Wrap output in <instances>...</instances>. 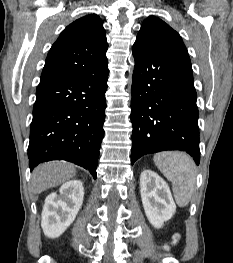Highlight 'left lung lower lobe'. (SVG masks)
I'll use <instances>...</instances> for the list:
<instances>
[{
	"label": "left lung lower lobe",
	"instance_id": "1",
	"mask_svg": "<svg viewBox=\"0 0 233 263\" xmlns=\"http://www.w3.org/2000/svg\"><path fill=\"white\" fill-rule=\"evenodd\" d=\"M132 164L163 150L200 161L198 108L190 58L133 45Z\"/></svg>",
	"mask_w": 233,
	"mask_h": 263
}]
</instances>
